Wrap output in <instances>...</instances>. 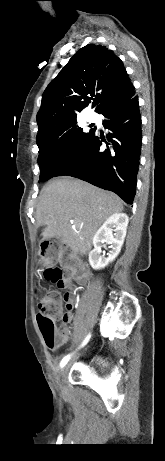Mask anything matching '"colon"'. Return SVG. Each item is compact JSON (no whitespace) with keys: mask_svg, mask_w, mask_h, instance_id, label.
<instances>
[{"mask_svg":"<svg viewBox=\"0 0 165 461\" xmlns=\"http://www.w3.org/2000/svg\"><path fill=\"white\" fill-rule=\"evenodd\" d=\"M41 255L46 263H51L55 259V242L53 240L42 242ZM44 277L47 281L56 284L58 289H64L67 286L66 281L62 279L61 268L57 266H47L44 270ZM64 310L61 293L58 291L48 293L38 303L37 321L43 339L49 348H54L59 341L55 320L61 317Z\"/></svg>","mask_w":165,"mask_h":461,"instance_id":"obj_1","label":"colon"}]
</instances>
